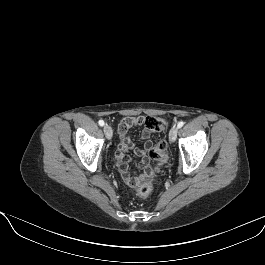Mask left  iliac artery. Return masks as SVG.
I'll return each instance as SVG.
<instances>
[{
	"label": "left iliac artery",
	"mask_w": 265,
	"mask_h": 265,
	"mask_svg": "<svg viewBox=\"0 0 265 265\" xmlns=\"http://www.w3.org/2000/svg\"><path fill=\"white\" fill-rule=\"evenodd\" d=\"M184 125V122L183 121H180L177 125L178 128H181L182 126Z\"/></svg>",
	"instance_id": "44dca946"
}]
</instances>
